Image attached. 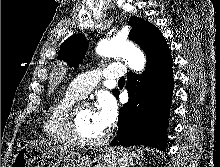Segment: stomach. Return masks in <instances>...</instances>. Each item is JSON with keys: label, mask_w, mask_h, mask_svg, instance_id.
<instances>
[{"label": "stomach", "mask_w": 220, "mask_h": 167, "mask_svg": "<svg viewBox=\"0 0 220 167\" xmlns=\"http://www.w3.org/2000/svg\"><path fill=\"white\" fill-rule=\"evenodd\" d=\"M138 159L132 149H107L90 160L66 148L31 142L18 150L11 167H131Z\"/></svg>", "instance_id": "stomach-1"}]
</instances>
